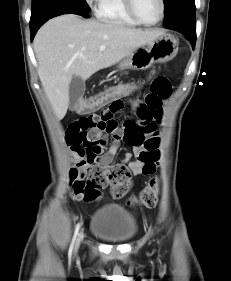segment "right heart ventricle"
<instances>
[{"instance_id":"1","label":"right heart ventricle","mask_w":231,"mask_h":281,"mask_svg":"<svg viewBox=\"0 0 231 281\" xmlns=\"http://www.w3.org/2000/svg\"><path fill=\"white\" fill-rule=\"evenodd\" d=\"M96 14L101 21L110 24L126 26L139 24L129 15L123 0H99Z\"/></svg>"}]
</instances>
